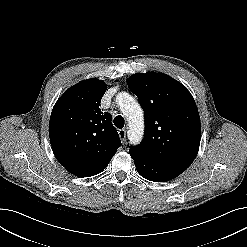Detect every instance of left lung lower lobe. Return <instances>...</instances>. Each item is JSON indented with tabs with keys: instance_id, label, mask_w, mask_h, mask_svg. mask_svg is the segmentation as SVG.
<instances>
[{
	"instance_id": "0a47b994",
	"label": "left lung lower lobe",
	"mask_w": 247,
	"mask_h": 247,
	"mask_svg": "<svg viewBox=\"0 0 247 247\" xmlns=\"http://www.w3.org/2000/svg\"><path fill=\"white\" fill-rule=\"evenodd\" d=\"M138 173L153 182H165L179 176L188 167L161 163L141 154L130 152Z\"/></svg>"
}]
</instances>
